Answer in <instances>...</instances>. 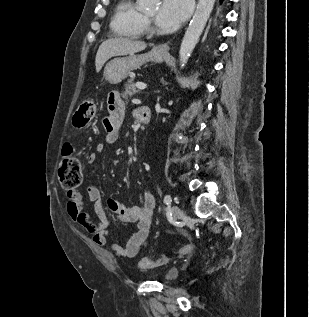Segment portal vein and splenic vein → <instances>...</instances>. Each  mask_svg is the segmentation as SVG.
Masks as SVG:
<instances>
[{
    "label": "portal vein and splenic vein",
    "instance_id": "obj_1",
    "mask_svg": "<svg viewBox=\"0 0 309 317\" xmlns=\"http://www.w3.org/2000/svg\"><path fill=\"white\" fill-rule=\"evenodd\" d=\"M136 87H137L138 89H140V90H144V89L147 88V85H146L145 83H143V82H137V83H136Z\"/></svg>",
    "mask_w": 309,
    "mask_h": 317
}]
</instances>
